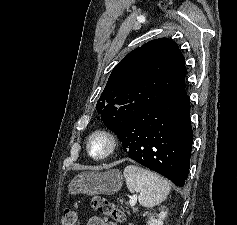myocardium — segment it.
I'll list each match as a JSON object with an SVG mask.
<instances>
[{
  "label": "myocardium",
  "mask_w": 237,
  "mask_h": 225,
  "mask_svg": "<svg viewBox=\"0 0 237 225\" xmlns=\"http://www.w3.org/2000/svg\"><path fill=\"white\" fill-rule=\"evenodd\" d=\"M96 141H103L105 143V149L100 154L93 152V145ZM118 147V141L116 136L105 129H99L94 131L87 140L86 149L89 156L94 160H105L112 156Z\"/></svg>",
  "instance_id": "f54148a6"
}]
</instances>
